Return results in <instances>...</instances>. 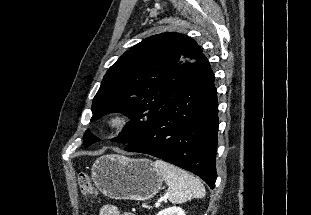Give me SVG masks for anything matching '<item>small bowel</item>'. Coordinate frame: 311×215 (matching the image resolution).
Masks as SVG:
<instances>
[{"label":"small bowel","instance_id":"c3829d8e","mask_svg":"<svg viewBox=\"0 0 311 215\" xmlns=\"http://www.w3.org/2000/svg\"><path fill=\"white\" fill-rule=\"evenodd\" d=\"M99 215H134V214L131 212H124L120 214L116 206L107 204L101 207Z\"/></svg>","mask_w":311,"mask_h":215}]
</instances>
